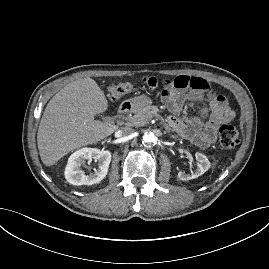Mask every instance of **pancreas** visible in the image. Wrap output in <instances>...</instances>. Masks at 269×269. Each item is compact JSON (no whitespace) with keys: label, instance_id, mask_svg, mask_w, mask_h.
I'll return each mask as SVG.
<instances>
[{"label":"pancreas","instance_id":"pancreas-1","mask_svg":"<svg viewBox=\"0 0 269 269\" xmlns=\"http://www.w3.org/2000/svg\"><path fill=\"white\" fill-rule=\"evenodd\" d=\"M158 112L159 110L157 108H153L152 106H145L144 108L140 109L134 116L129 118L128 125L130 126L144 125L154 116H156Z\"/></svg>","mask_w":269,"mask_h":269}]
</instances>
